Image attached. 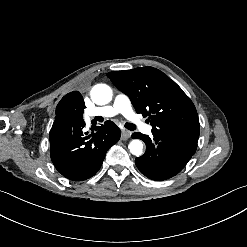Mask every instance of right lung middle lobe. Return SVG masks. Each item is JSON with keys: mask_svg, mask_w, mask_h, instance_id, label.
Segmentation results:
<instances>
[{"mask_svg": "<svg viewBox=\"0 0 247 247\" xmlns=\"http://www.w3.org/2000/svg\"><path fill=\"white\" fill-rule=\"evenodd\" d=\"M60 107L59 119L52 128L67 127L83 123V111L85 103L78 91H73L62 98L58 103Z\"/></svg>", "mask_w": 247, "mask_h": 247, "instance_id": "1", "label": "right lung middle lobe"}]
</instances>
